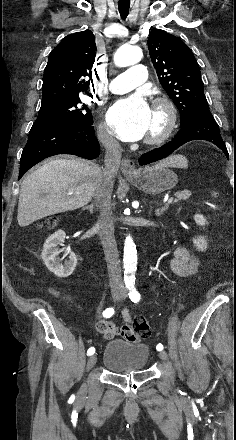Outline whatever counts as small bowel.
Returning <instances> with one entry per match:
<instances>
[{"instance_id":"c3829d8e","label":"small bowel","mask_w":236,"mask_h":440,"mask_svg":"<svg viewBox=\"0 0 236 440\" xmlns=\"http://www.w3.org/2000/svg\"><path fill=\"white\" fill-rule=\"evenodd\" d=\"M199 258L192 254L187 248L177 246L173 250V259L171 261L172 271L180 277H189L198 271ZM49 293L55 297H59V291L53 286H49ZM125 321H119L114 324L109 321L100 320L96 323V327L105 338H111L118 334L123 342H130L137 338V331L134 330L133 324H127L131 321V315L127 309L122 312Z\"/></svg>"}]
</instances>
